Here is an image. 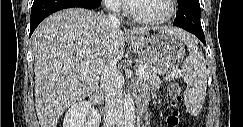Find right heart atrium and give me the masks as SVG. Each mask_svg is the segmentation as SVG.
<instances>
[{
  "instance_id": "d8ad5b80",
  "label": "right heart atrium",
  "mask_w": 243,
  "mask_h": 127,
  "mask_svg": "<svg viewBox=\"0 0 243 127\" xmlns=\"http://www.w3.org/2000/svg\"><path fill=\"white\" fill-rule=\"evenodd\" d=\"M104 6L112 13H119L123 10L124 2L122 0H104Z\"/></svg>"
}]
</instances>
